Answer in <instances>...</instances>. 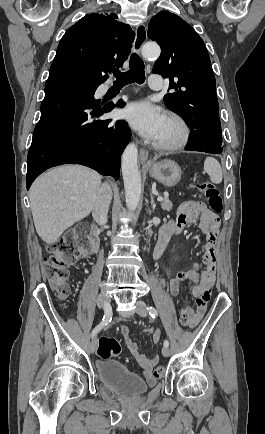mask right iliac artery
I'll return each instance as SVG.
<instances>
[{
  "instance_id": "obj_1",
  "label": "right iliac artery",
  "mask_w": 265,
  "mask_h": 434,
  "mask_svg": "<svg viewBox=\"0 0 265 434\" xmlns=\"http://www.w3.org/2000/svg\"><path fill=\"white\" fill-rule=\"evenodd\" d=\"M104 316L102 321L93 329L92 331V337H94L98 331H100L105 325H107L108 322L111 320L112 316V309L110 306L104 307Z\"/></svg>"
}]
</instances>
